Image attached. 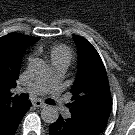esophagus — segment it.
<instances>
[{
	"mask_svg": "<svg viewBox=\"0 0 135 135\" xmlns=\"http://www.w3.org/2000/svg\"><path fill=\"white\" fill-rule=\"evenodd\" d=\"M32 104L35 106V107H40V108H44L46 106V104L41 101V100H34L32 102Z\"/></svg>",
	"mask_w": 135,
	"mask_h": 135,
	"instance_id": "34e87169",
	"label": "esophagus"
}]
</instances>
